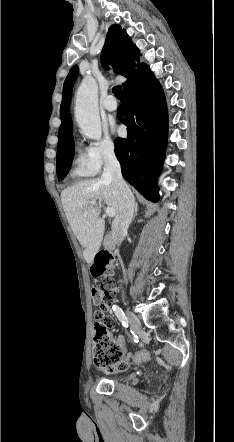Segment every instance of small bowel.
<instances>
[{"label":"small bowel","instance_id":"1","mask_svg":"<svg viewBox=\"0 0 234 442\" xmlns=\"http://www.w3.org/2000/svg\"><path fill=\"white\" fill-rule=\"evenodd\" d=\"M110 308L108 307L106 309V312H108ZM100 309L95 314V321L93 328L95 331H108L109 328H115L117 325L116 317L114 315L109 314H99ZM117 341L120 343L121 347L124 346V339L122 337H119ZM141 347V346H140ZM139 347V348H140ZM138 350V349H137Z\"/></svg>","mask_w":234,"mask_h":442}]
</instances>
